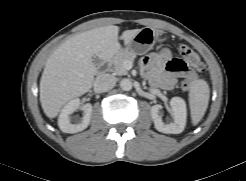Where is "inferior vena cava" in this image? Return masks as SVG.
Masks as SVG:
<instances>
[{
  "instance_id": "obj_1",
  "label": "inferior vena cava",
  "mask_w": 246,
  "mask_h": 181,
  "mask_svg": "<svg viewBox=\"0 0 246 181\" xmlns=\"http://www.w3.org/2000/svg\"><path fill=\"white\" fill-rule=\"evenodd\" d=\"M116 84V78L110 74H100L95 82L94 89L98 92H104L112 89Z\"/></svg>"
}]
</instances>
